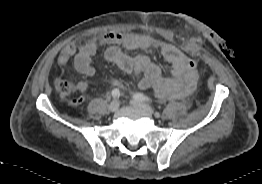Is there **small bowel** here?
<instances>
[{
	"instance_id": "c3829d8e",
	"label": "small bowel",
	"mask_w": 262,
	"mask_h": 184,
	"mask_svg": "<svg viewBox=\"0 0 262 184\" xmlns=\"http://www.w3.org/2000/svg\"><path fill=\"white\" fill-rule=\"evenodd\" d=\"M191 42L196 45H205L206 37L199 34L191 35ZM105 58L126 73L141 74L137 86L139 89L153 88L159 98H184L192 94L198 78L197 70L194 73L193 86L189 91L184 89L187 81L186 60L189 58L176 46L167 41L134 33L110 32L101 39L90 40L77 47L74 44L67 45L58 56V63L66 65L74 60L75 69L85 75L92 76L95 70L91 64L92 57L103 47ZM157 49L163 58L171 65L169 71L164 74L161 68L146 55H131L141 49ZM81 95L77 98L80 104L84 101L87 84L80 81L77 85Z\"/></svg>"
}]
</instances>
